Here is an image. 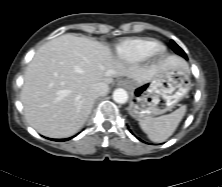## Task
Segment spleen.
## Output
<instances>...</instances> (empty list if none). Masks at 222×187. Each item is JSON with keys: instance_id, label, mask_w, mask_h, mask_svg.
<instances>
[{"instance_id": "spleen-1", "label": "spleen", "mask_w": 222, "mask_h": 187, "mask_svg": "<svg viewBox=\"0 0 222 187\" xmlns=\"http://www.w3.org/2000/svg\"><path fill=\"white\" fill-rule=\"evenodd\" d=\"M185 112L186 106L183 105L170 114L142 119L139 125L151 141L164 142L175 132Z\"/></svg>"}]
</instances>
